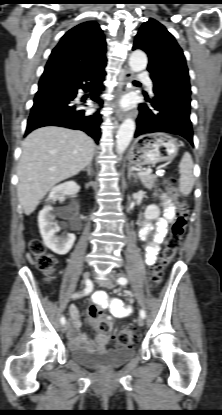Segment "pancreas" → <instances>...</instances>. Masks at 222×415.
<instances>
[{"mask_svg":"<svg viewBox=\"0 0 222 415\" xmlns=\"http://www.w3.org/2000/svg\"><path fill=\"white\" fill-rule=\"evenodd\" d=\"M141 183L146 187V188H152L155 185V181L157 176L153 175V174H141L138 176Z\"/></svg>","mask_w":222,"mask_h":415,"instance_id":"obj_1","label":"pancreas"}]
</instances>
